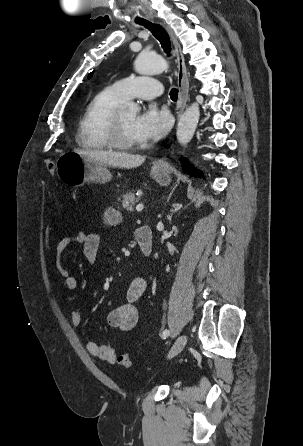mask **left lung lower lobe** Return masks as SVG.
Masks as SVG:
<instances>
[{
    "label": "left lung lower lobe",
    "mask_w": 303,
    "mask_h": 446,
    "mask_svg": "<svg viewBox=\"0 0 303 446\" xmlns=\"http://www.w3.org/2000/svg\"><path fill=\"white\" fill-rule=\"evenodd\" d=\"M183 163L184 172L191 176H202V173L198 172L194 167L189 165V162L185 159H181Z\"/></svg>",
    "instance_id": "1"
}]
</instances>
